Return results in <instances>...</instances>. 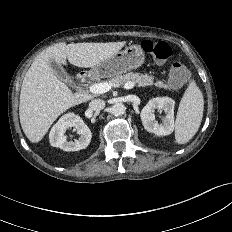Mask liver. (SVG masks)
I'll return each instance as SVG.
<instances>
[{
  "instance_id": "liver-1",
  "label": "liver",
  "mask_w": 232,
  "mask_h": 232,
  "mask_svg": "<svg viewBox=\"0 0 232 232\" xmlns=\"http://www.w3.org/2000/svg\"><path fill=\"white\" fill-rule=\"evenodd\" d=\"M126 41L106 43L60 42L42 51L28 69L21 87L19 116L26 137L38 143L59 115L91 99L85 93H72L52 71L49 61L90 68L112 57Z\"/></svg>"
}]
</instances>
